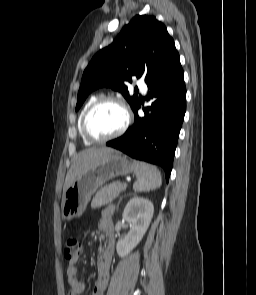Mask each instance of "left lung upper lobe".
I'll list each match as a JSON object with an SVG mask.
<instances>
[{
	"mask_svg": "<svg viewBox=\"0 0 256 295\" xmlns=\"http://www.w3.org/2000/svg\"><path fill=\"white\" fill-rule=\"evenodd\" d=\"M178 61L174 40L164 24L154 16L137 15L90 61L82 76L76 111L93 90L102 86L121 92L133 109L139 99L129 95L125 82H131L132 76H144L150 83Z\"/></svg>",
	"mask_w": 256,
	"mask_h": 295,
	"instance_id": "obj_1",
	"label": "left lung upper lobe"
}]
</instances>
